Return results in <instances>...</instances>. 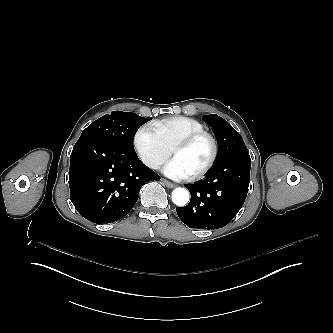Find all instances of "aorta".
<instances>
[{
	"label": "aorta",
	"instance_id": "1",
	"mask_svg": "<svg viewBox=\"0 0 333 333\" xmlns=\"http://www.w3.org/2000/svg\"><path fill=\"white\" fill-rule=\"evenodd\" d=\"M189 201V192L184 188H175L172 192V202L177 206H185Z\"/></svg>",
	"mask_w": 333,
	"mask_h": 333
}]
</instances>
